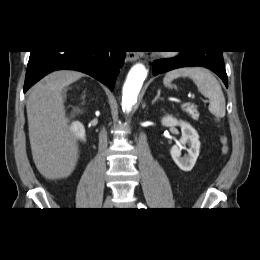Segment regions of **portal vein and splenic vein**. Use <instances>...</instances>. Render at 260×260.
I'll list each match as a JSON object with an SVG mask.
<instances>
[{"mask_svg":"<svg viewBox=\"0 0 260 260\" xmlns=\"http://www.w3.org/2000/svg\"><path fill=\"white\" fill-rule=\"evenodd\" d=\"M186 105H188V103H184V104H182V106H186Z\"/></svg>","mask_w":260,"mask_h":260,"instance_id":"obj_1","label":"portal vein and splenic vein"}]
</instances>
